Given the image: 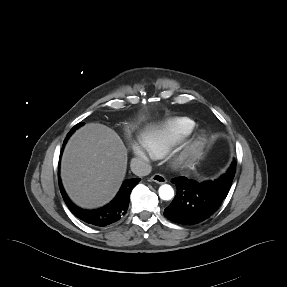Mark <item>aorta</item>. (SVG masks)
Returning <instances> with one entry per match:
<instances>
[{"instance_id": "762f6f07", "label": "aorta", "mask_w": 287, "mask_h": 287, "mask_svg": "<svg viewBox=\"0 0 287 287\" xmlns=\"http://www.w3.org/2000/svg\"><path fill=\"white\" fill-rule=\"evenodd\" d=\"M159 197L162 200H171L174 197V190L172 186L168 184H163L159 187Z\"/></svg>"}]
</instances>
